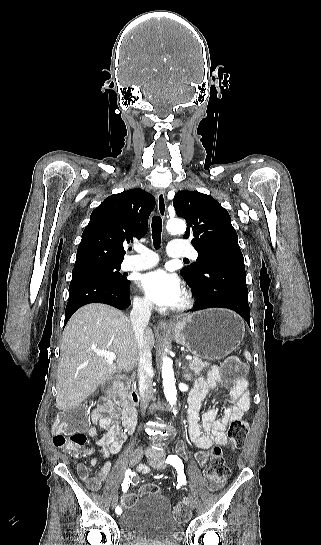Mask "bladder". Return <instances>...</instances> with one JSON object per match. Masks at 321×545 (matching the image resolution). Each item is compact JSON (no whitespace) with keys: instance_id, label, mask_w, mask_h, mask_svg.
<instances>
[{"instance_id":"31cf9c89","label":"bladder","mask_w":321,"mask_h":545,"mask_svg":"<svg viewBox=\"0 0 321 545\" xmlns=\"http://www.w3.org/2000/svg\"><path fill=\"white\" fill-rule=\"evenodd\" d=\"M120 535L128 545H179L184 534L168 498L151 493L137 499L118 516Z\"/></svg>"}]
</instances>
